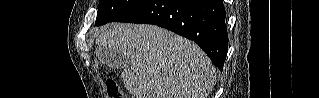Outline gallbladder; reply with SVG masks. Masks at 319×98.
Masks as SVG:
<instances>
[{"label":"gallbladder","mask_w":319,"mask_h":98,"mask_svg":"<svg viewBox=\"0 0 319 98\" xmlns=\"http://www.w3.org/2000/svg\"><path fill=\"white\" fill-rule=\"evenodd\" d=\"M97 54L99 61L107 67L120 69L126 63L122 56L112 53V51L106 48H100Z\"/></svg>","instance_id":"gallbladder-1"}]
</instances>
